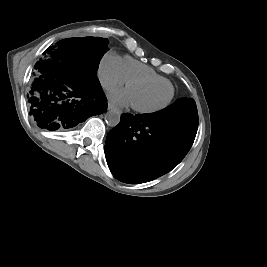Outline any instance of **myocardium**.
<instances>
[{"label":"myocardium","instance_id":"f54148a6","mask_svg":"<svg viewBox=\"0 0 267 267\" xmlns=\"http://www.w3.org/2000/svg\"><path fill=\"white\" fill-rule=\"evenodd\" d=\"M135 83H154V84H158V85H167L171 89L170 97L168 98V100L166 102H164L161 105L154 106V107H139V106L132 104V109L136 112L143 113V114H150V113H155V112L161 111V110L165 109L166 107H168L174 99L175 89L171 83L165 84L161 81L155 80V79L150 78V77H133V78H130L127 80L126 87L128 88L130 85L135 84Z\"/></svg>","mask_w":267,"mask_h":267}]
</instances>
